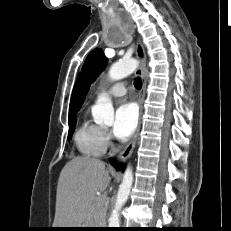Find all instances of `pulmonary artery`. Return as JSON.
<instances>
[{"mask_svg":"<svg viewBox=\"0 0 231 231\" xmlns=\"http://www.w3.org/2000/svg\"><path fill=\"white\" fill-rule=\"evenodd\" d=\"M126 92V84L123 81L114 83L108 89V93L115 97L124 96Z\"/></svg>","mask_w":231,"mask_h":231,"instance_id":"e3ab8cb5","label":"pulmonary artery"}]
</instances>
